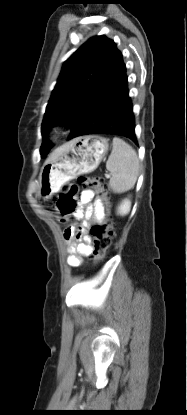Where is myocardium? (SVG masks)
I'll list each match as a JSON object with an SVG mask.
<instances>
[{
    "mask_svg": "<svg viewBox=\"0 0 187 415\" xmlns=\"http://www.w3.org/2000/svg\"><path fill=\"white\" fill-rule=\"evenodd\" d=\"M59 130H60V128H59V127H55V128L52 130V132H51L50 138H51V139L56 138V136H57V135H58V133H59Z\"/></svg>",
    "mask_w": 187,
    "mask_h": 415,
    "instance_id": "obj_1",
    "label": "myocardium"
}]
</instances>
